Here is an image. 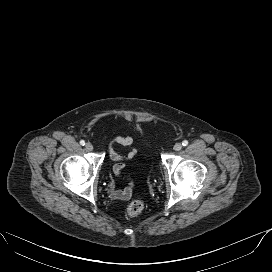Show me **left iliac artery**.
Wrapping results in <instances>:
<instances>
[{
  "label": "left iliac artery",
  "mask_w": 272,
  "mask_h": 272,
  "mask_svg": "<svg viewBox=\"0 0 272 272\" xmlns=\"http://www.w3.org/2000/svg\"><path fill=\"white\" fill-rule=\"evenodd\" d=\"M182 145H183V146H187V145H188V141H187V140H184V141L182 142Z\"/></svg>",
  "instance_id": "1"
}]
</instances>
